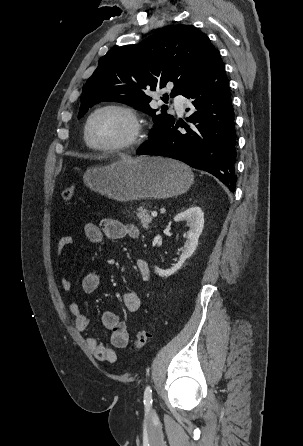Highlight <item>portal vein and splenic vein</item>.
I'll use <instances>...</instances> for the list:
<instances>
[{
    "label": "portal vein and splenic vein",
    "instance_id": "portal-vein-and-splenic-vein-1",
    "mask_svg": "<svg viewBox=\"0 0 303 446\" xmlns=\"http://www.w3.org/2000/svg\"><path fill=\"white\" fill-rule=\"evenodd\" d=\"M151 215H152L153 217H157V212H156V211H152V212H151Z\"/></svg>",
    "mask_w": 303,
    "mask_h": 446
}]
</instances>
